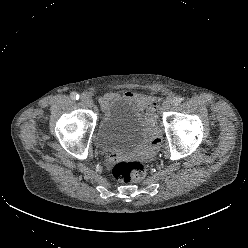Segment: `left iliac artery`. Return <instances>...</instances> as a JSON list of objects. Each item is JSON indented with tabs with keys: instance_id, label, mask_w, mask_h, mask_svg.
Segmentation results:
<instances>
[{
	"instance_id": "44dca946",
	"label": "left iliac artery",
	"mask_w": 248,
	"mask_h": 248,
	"mask_svg": "<svg viewBox=\"0 0 248 248\" xmlns=\"http://www.w3.org/2000/svg\"><path fill=\"white\" fill-rule=\"evenodd\" d=\"M183 101V98H181L180 96L174 97L172 100L173 105L177 106L179 105L181 102Z\"/></svg>"
}]
</instances>
